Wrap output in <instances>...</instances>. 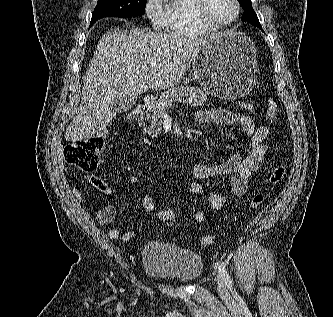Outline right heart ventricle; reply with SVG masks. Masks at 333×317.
Wrapping results in <instances>:
<instances>
[{
    "instance_id": "1",
    "label": "right heart ventricle",
    "mask_w": 333,
    "mask_h": 317,
    "mask_svg": "<svg viewBox=\"0 0 333 317\" xmlns=\"http://www.w3.org/2000/svg\"><path fill=\"white\" fill-rule=\"evenodd\" d=\"M192 2V0H171L164 6V28L167 33L175 37L193 38L210 32L195 21L191 8Z\"/></svg>"
}]
</instances>
